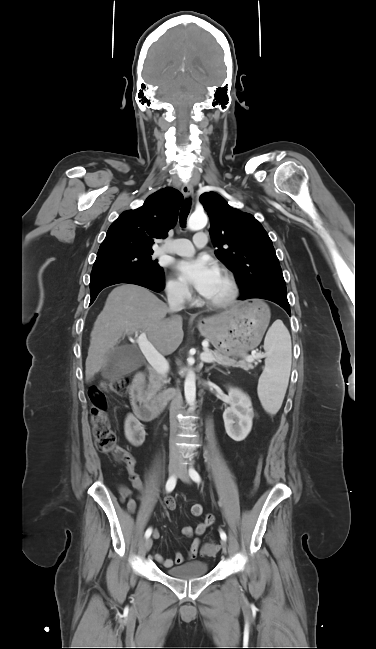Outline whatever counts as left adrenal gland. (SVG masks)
<instances>
[{"instance_id": "left-adrenal-gland-1", "label": "left adrenal gland", "mask_w": 376, "mask_h": 649, "mask_svg": "<svg viewBox=\"0 0 376 649\" xmlns=\"http://www.w3.org/2000/svg\"><path fill=\"white\" fill-rule=\"evenodd\" d=\"M213 367L206 368V372H209Z\"/></svg>"}]
</instances>
